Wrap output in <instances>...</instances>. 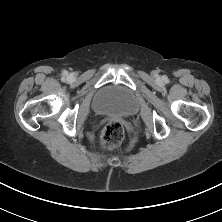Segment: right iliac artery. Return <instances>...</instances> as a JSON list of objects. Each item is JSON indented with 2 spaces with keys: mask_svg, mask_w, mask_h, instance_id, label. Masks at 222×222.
<instances>
[{
  "mask_svg": "<svg viewBox=\"0 0 222 222\" xmlns=\"http://www.w3.org/2000/svg\"><path fill=\"white\" fill-rule=\"evenodd\" d=\"M63 74H64V75H67V72H64Z\"/></svg>",
  "mask_w": 222,
  "mask_h": 222,
  "instance_id": "82829eb1",
  "label": "right iliac artery"
}]
</instances>
